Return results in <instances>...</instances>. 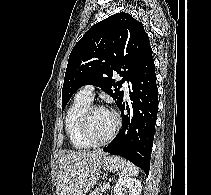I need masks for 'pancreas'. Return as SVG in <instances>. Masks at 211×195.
I'll use <instances>...</instances> for the list:
<instances>
[{
	"instance_id": "pancreas-1",
	"label": "pancreas",
	"mask_w": 211,
	"mask_h": 195,
	"mask_svg": "<svg viewBox=\"0 0 211 195\" xmlns=\"http://www.w3.org/2000/svg\"><path fill=\"white\" fill-rule=\"evenodd\" d=\"M105 191L104 185L99 186L94 190L90 195H103V192Z\"/></svg>"
}]
</instances>
